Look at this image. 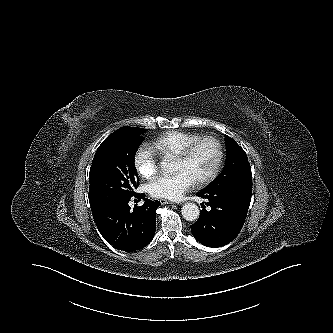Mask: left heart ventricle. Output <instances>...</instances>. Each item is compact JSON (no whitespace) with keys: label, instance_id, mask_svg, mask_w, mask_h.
<instances>
[{"label":"left heart ventricle","instance_id":"obj_1","mask_svg":"<svg viewBox=\"0 0 333 333\" xmlns=\"http://www.w3.org/2000/svg\"><path fill=\"white\" fill-rule=\"evenodd\" d=\"M217 160V148L212 141L200 143L186 161L174 160L173 171H185L194 181L207 177L214 168Z\"/></svg>","mask_w":333,"mask_h":333}]
</instances>
